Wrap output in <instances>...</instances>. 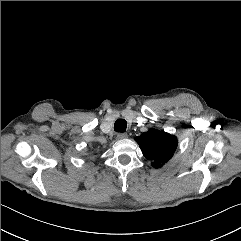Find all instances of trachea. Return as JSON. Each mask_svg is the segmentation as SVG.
<instances>
[{
	"label": "trachea",
	"mask_w": 241,
	"mask_h": 241,
	"mask_svg": "<svg viewBox=\"0 0 241 241\" xmlns=\"http://www.w3.org/2000/svg\"><path fill=\"white\" fill-rule=\"evenodd\" d=\"M126 127H127V122L124 119H118L114 124V130L116 132H125Z\"/></svg>",
	"instance_id": "obj_1"
}]
</instances>
